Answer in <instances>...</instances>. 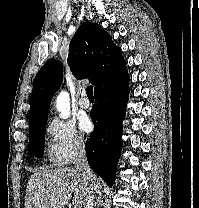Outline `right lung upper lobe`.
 I'll return each mask as SVG.
<instances>
[{
  "mask_svg": "<svg viewBox=\"0 0 199 208\" xmlns=\"http://www.w3.org/2000/svg\"><path fill=\"white\" fill-rule=\"evenodd\" d=\"M68 65L78 79L89 78L94 93L128 74L121 49L97 23L84 22L74 34L68 54ZM62 83V64L47 62L37 73L31 94L29 131L46 122L51 99Z\"/></svg>",
  "mask_w": 199,
  "mask_h": 208,
  "instance_id": "obj_1",
  "label": "right lung upper lobe"
}]
</instances>
